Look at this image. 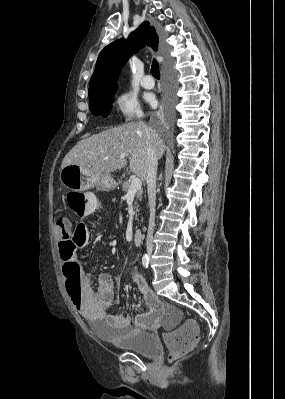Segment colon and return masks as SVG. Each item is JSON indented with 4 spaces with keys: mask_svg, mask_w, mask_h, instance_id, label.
<instances>
[{
    "mask_svg": "<svg viewBox=\"0 0 285 399\" xmlns=\"http://www.w3.org/2000/svg\"><path fill=\"white\" fill-rule=\"evenodd\" d=\"M67 200L71 209L78 215L82 213L87 203L86 193L70 192ZM56 223L60 227L68 226L69 235L59 242L60 258L64 263V274H69L76 269V252L89 239L90 232L83 221H71L66 215L61 214L57 217ZM67 290L75 303L79 301V285L73 281L67 282ZM164 338L169 346L170 356L177 358L182 356L194 347L199 339V328L192 322L187 321L172 331L165 333Z\"/></svg>",
    "mask_w": 285,
    "mask_h": 399,
    "instance_id": "5ec220e1",
    "label": "colon"
}]
</instances>
